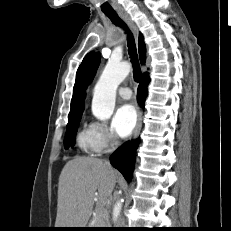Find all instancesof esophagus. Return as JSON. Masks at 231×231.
I'll return each mask as SVG.
<instances>
[{"instance_id": "34e87169", "label": "esophagus", "mask_w": 231, "mask_h": 231, "mask_svg": "<svg viewBox=\"0 0 231 231\" xmlns=\"http://www.w3.org/2000/svg\"><path fill=\"white\" fill-rule=\"evenodd\" d=\"M119 15L128 23V25L131 27L133 34L135 36V39L137 40L138 38V29L135 23L132 21V19L129 17L128 14L119 12ZM142 127V110L139 109L138 111V117H137V124L133 133L132 139H136L140 133Z\"/></svg>"}]
</instances>
